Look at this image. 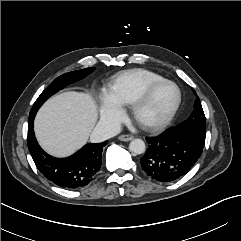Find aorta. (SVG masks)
I'll list each match as a JSON object with an SVG mask.
<instances>
[{
    "label": "aorta",
    "instance_id": "762f6f07",
    "mask_svg": "<svg viewBox=\"0 0 241 241\" xmlns=\"http://www.w3.org/2000/svg\"><path fill=\"white\" fill-rule=\"evenodd\" d=\"M145 143L142 139H133L129 144V149L132 153L142 154L145 152Z\"/></svg>",
    "mask_w": 241,
    "mask_h": 241
}]
</instances>
